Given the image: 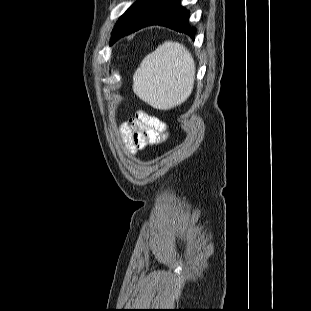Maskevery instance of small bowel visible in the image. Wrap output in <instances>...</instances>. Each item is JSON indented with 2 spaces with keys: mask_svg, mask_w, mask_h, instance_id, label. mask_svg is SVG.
<instances>
[{
  "mask_svg": "<svg viewBox=\"0 0 311 311\" xmlns=\"http://www.w3.org/2000/svg\"><path fill=\"white\" fill-rule=\"evenodd\" d=\"M165 128L166 124L162 121L144 112H138L136 118L123 123L121 136L125 148L130 153H136L149 144H162L166 140L163 134Z\"/></svg>",
  "mask_w": 311,
  "mask_h": 311,
  "instance_id": "1",
  "label": "small bowel"
}]
</instances>
